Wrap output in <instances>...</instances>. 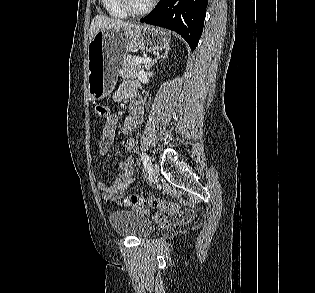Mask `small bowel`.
<instances>
[{"label": "small bowel", "mask_w": 315, "mask_h": 293, "mask_svg": "<svg viewBox=\"0 0 315 293\" xmlns=\"http://www.w3.org/2000/svg\"><path fill=\"white\" fill-rule=\"evenodd\" d=\"M114 100L119 102L126 98H132L130 114L125 119L122 133L129 134L131 133L139 124H141L143 119V107L140 99L137 96L136 87L132 82L122 83L118 89L115 91ZM118 123V117L115 114H109L104 121V125L101 130L100 141H99V155L105 156L110 147L112 146L116 127ZM126 149L129 152H132L135 149V140L130 138L126 142ZM120 173L111 184L99 181L97 187L101 192L102 198L105 201H114L123 197L126 189L134 181V159L131 156L126 157L119 165ZM159 218H171L174 219V216L171 215L170 211H159Z\"/></svg>", "instance_id": "1"}]
</instances>
